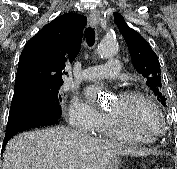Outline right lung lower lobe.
Segmentation results:
<instances>
[{"label": "right lung lower lobe", "mask_w": 177, "mask_h": 169, "mask_svg": "<svg viewBox=\"0 0 177 169\" xmlns=\"http://www.w3.org/2000/svg\"><path fill=\"white\" fill-rule=\"evenodd\" d=\"M61 115L34 108H10L3 147L18 132L47 125H57Z\"/></svg>", "instance_id": "1"}]
</instances>
